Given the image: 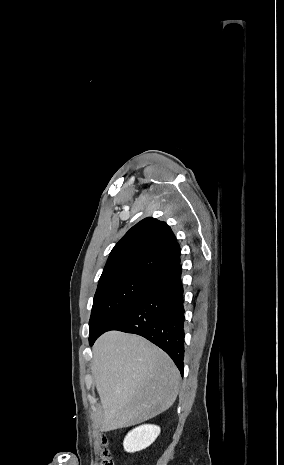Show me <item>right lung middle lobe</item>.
Returning a JSON list of instances; mask_svg holds the SVG:
<instances>
[{
  "label": "right lung middle lobe",
  "mask_w": 284,
  "mask_h": 465,
  "mask_svg": "<svg viewBox=\"0 0 284 465\" xmlns=\"http://www.w3.org/2000/svg\"><path fill=\"white\" fill-rule=\"evenodd\" d=\"M153 280L124 275L99 281L89 320V341L98 336L107 323L138 297Z\"/></svg>",
  "instance_id": "1"
}]
</instances>
